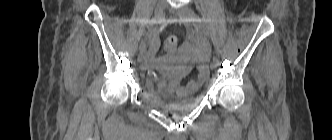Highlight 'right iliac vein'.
<instances>
[{
	"instance_id": "right-iliac-vein-1",
	"label": "right iliac vein",
	"mask_w": 332,
	"mask_h": 140,
	"mask_svg": "<svg viewBox=\"0 0 332 140\" xmlns=\"http://www.w3.org/2000/svg\"><path fill=\"white\" fill-rule=\"evenodd\" d=\"M167 7V1L166 0H159L156 8H155V18L156 20L161 19L163 16L164 10ZM153 32V29H152ZM145 52H146V38H143L139 44V56H138V61L141 62L144 57H145Z\"/></svg>"
}]
</instances>
